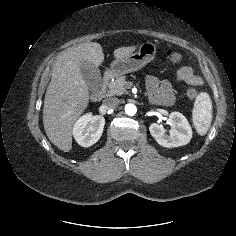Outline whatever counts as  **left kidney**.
I'll return each instance as SVG.
<instances>
[{"mask_svg":"<svg viewBox=\"0 0 236 236\" xmlns=\"http://www.w3.org/2000/svg\"><path fill=\"white\" fill-rule=\"evenodd\" d=\"M172 127L166 134V130L161 124L153 123L149 127L150 134L156 142L167 148H174L186 145L192 138V129L185 116L179 112H172L169 115Z\"/></svg>","mask_w":236,"mask_h":236,"instance_id":"obj_1","label":"left kidney"}]
</instances>
